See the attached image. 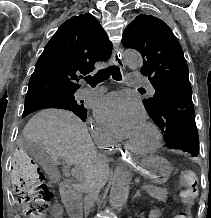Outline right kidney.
I'll use <instances>...</instances> for the list:
<instances>
[{
    "label": "right kidney",
    "mask_w": 211,
    "mask_h": 218,
    "mask_svg": "<svg viewBox=\"0 0 211 218\" xmlns=\"http://www.w3.org/2000/svg\"><path fill=\"white\" fill-rule=\"evenodd\" d=\"M53 211H55V217H61V214L65 213V210L60 209V206H53Z\"/></svg>",
    "instance_id": "1"
}]
</instances>
